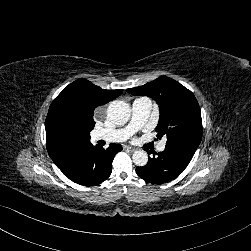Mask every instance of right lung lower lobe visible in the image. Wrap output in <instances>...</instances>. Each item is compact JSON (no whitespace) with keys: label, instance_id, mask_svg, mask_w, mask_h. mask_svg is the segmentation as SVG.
<instances>
[{"label":"right lung lower lobe","instance_id":"98d812e1","mask_svg":"<svg viewBox=\"0 0 251 251\" xmlns=\"http://www.w3.org/2000/svg\"><path fill=\"white\" fill-rule=\"evenodd\" d=\"M121 150L119 144H111L107 149L91 144L64 155L55 164L73 182L93 186L110 176L114 156Z\"/></svg>","mask_w":251,"mask_h":251}]
</instances>
